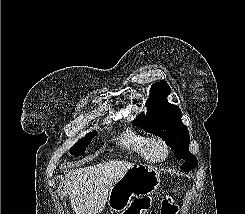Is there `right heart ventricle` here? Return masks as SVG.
<instances>
[{"label":"right heart ventricle","mask_w":245,"mask_h":214,"mask_svg":"<svg viewBox=\"0 0 245 214\" xmlns=\"http://www.w3.org/2000/svg\"><path fill=\"white\" fill-rule=\"evenodd\" d=\"M149 137L134 130L125 131L119 138L118 144L127 151L134 153L144 160L150 161L147 153Z\"/></svg>","instance_id":"1"}]
</instances>
